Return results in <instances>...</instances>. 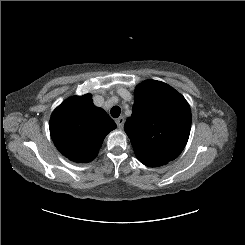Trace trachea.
<instances>
[{
	"mask_svg": "<svg viewBox=\"0 0 245 245\" xmlns=\"http://www.w3.org/2000/svg\"><path fill=\"white\" fill-rule=\"evenodd\" d=\"M110 113L113 118H118L121 113V108L119 106H114L111 108Z\"/></svg>",
	"mask_w": 245,
	"mask_h": 245,
	"instance_id": "obj_1",
	"label": "trachea"
}]
</instances>
